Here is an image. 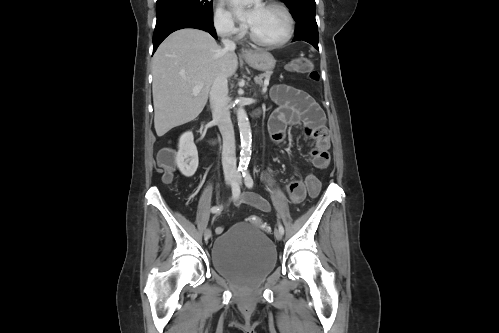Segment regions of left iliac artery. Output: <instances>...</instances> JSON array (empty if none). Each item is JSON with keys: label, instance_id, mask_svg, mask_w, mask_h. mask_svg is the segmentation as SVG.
Listing matches in <instances>:
<instances>
[{"label": "left iliac artery", "instance_id": "44dca946", "mask_svg": "<svg viewBox=\"0 0 499 333\" xmlns=\"http://www.w3.org/2000/svg\"><path fill=\"white\" fill-rule=\"evenodd\" d=\"M242 175H243V178H244V182H245V185L248 187V188H252L253 185H254V182H253V179L249 173V170L246 168H244L242 170ZM279 231L283 234L284 233V227L282 226L281 223H279Z\"/></svg>", "mask_w": 499, "mask_h": 333}]
</instances>
